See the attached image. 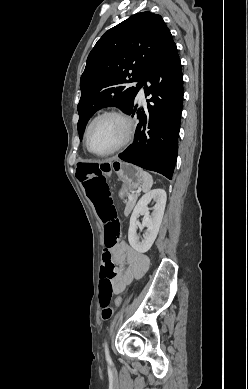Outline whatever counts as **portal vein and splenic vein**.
I'll use <instances>...</instances> for the list:
<instances>
[{"label": "portal vein and splenic vein", "mask_w": 248, "mask_h": 389, "mask_svg": "<svg viewBox=\"0 0 248 389\" xmlns=\"http://www.w3.org/2000/svg\"><path fill=\"white\" fill-rule=\"evenodd\" d=\"M128 198H129V200L133 199V194H130V195L128 196Z\"/></svg>", "instance_id": "1"}]
</instances>
